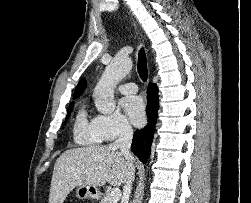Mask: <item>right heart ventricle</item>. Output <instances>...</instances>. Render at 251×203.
Instances as JSON below:
<instances>
[{"mask_svg":"<svg viewBox=\"0 0 251 203\" xmlns=\"http://www.w3.org/2000/svg\"><path fill=\"white\" fill-rule=\"evenodd\" d=\"M73 139L75 143L83 146H95L102 139L95 131L92 121H88L85 109L79 110L73 126Z\"/></svg>","mask_w":251,"mask_h":203,"instance_id":"right-heart-ventricle-1","label":"right heart ventricle"}]
</instances>
